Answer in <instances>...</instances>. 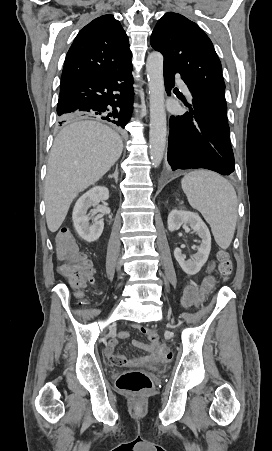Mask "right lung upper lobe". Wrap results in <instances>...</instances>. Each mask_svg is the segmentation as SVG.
<instances>
[{"label":"right lung upper lobe","instance_id":"cb5924a9","mask_svg":"<svg viewBox=\"0 0 272 451\" xmlns=\"http://www.w3.org/2000/svg\"><path fill=\"white\" fill-rule=\"evenodd\" d=\"M128 37L113 15L100 16L76 36L65 59L61 86L106 74L131 60Z\"/></svg>","mask_w":272,"mask_h":451}]
</instances>
